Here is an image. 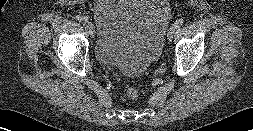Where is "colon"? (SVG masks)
<instances>
[{"mask_svg":"<svg viewBox=\"0 0 253 131\" xmlns=\"http://www.w3.org/2000/svg\"><path fill=\"white\" fill-rule=\"evenodd\" d=\"M126 95H127L130 99H135V98L138 97L139 92H138V90H137L135 87H133V86H128V87L126 88Z\"/></svg>","mask_w":253,"mask_h":131,"instance_id":"obj_1","label":"colon"}]
</instances>
